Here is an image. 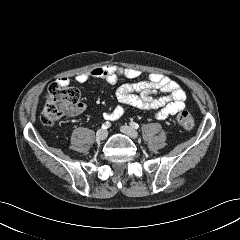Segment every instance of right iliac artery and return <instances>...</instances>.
I'll return each instance as SVG.
<instances>
[{"label":"right iliac artery","mask_w":240,"mask_h":240,"mask_svg":"<svg viewBox=\"0 0 240 240\" xmlns=\"http://www.w3.org/2000/svg\"><path fill=\"white\" fill-rule=\"evenodd\" d=\"M111 126V123L110 122H105L103 125H102V128L103 129H107V128H109Z\"/></svg>","instance_id":"1"}]
</instances>
